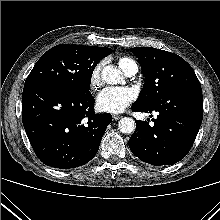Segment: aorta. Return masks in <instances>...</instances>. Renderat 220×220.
I'll return each instance as SVG.
<instances>
[{
  "label": "aorta",
  "mask_w": 220,
  "mask_h": 220,
  "mask_svg": "<svg viewBox=\"0 0 220 220\" xmlns=\"http://www.w3.org/2000/svg\"><path fill=\"white\" fill-rule=\"evenodd\" d=\"M102 80L107 84L114 85L122 81L123 76L119 69L113 65H107L102 69L101 72ZM120 132L124 134H131L135 131L136 125L132 118L124 117L121 118L118 124Z\"/></svg>",
  "instance_id": "1"
}]
</instances>
